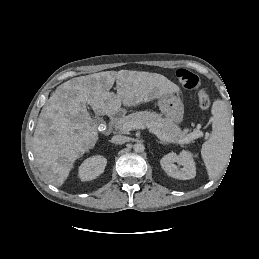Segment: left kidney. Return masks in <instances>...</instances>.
<instances>
[{
	"label": "left kidney",
	"instance_id": "1",
	"mask_svg": "<svg viewBox=\"0 0 259 259\" xmlns=\"http://www.w3.org/2000/svg\"><path fill=\"white\" fill-rule=\"evenodd\" d=\"M160 164L167 175L175 179L187 180L196 176V166L190 151L183 150L179 155L174 152L168 153L160 160Z\"/></svg>",
	"mask_w": 259,
	"mask_h": 259
}]
</instances>
